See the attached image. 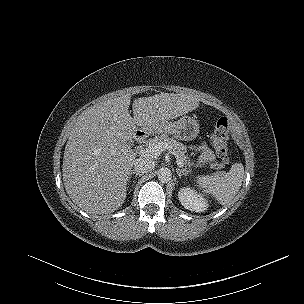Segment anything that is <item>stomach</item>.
Listing matches in <instances>:
<instances>
[{"label": "stomach", "mask_w": 304, "mask_h": 304, "mask_svg": "<svg viewBox=\"0 0 304 304\" xmlns=\"http://www.w3.org/2000/svg\"><path fill=\"white\" fill-rule=\"evenodd\" d=\"M163 128L179 140H193L199 134V125L197 121L190 116H183L178 121L165 123Z\"/></svg>", "instance_id": "0dacf381"}]
</instances>
